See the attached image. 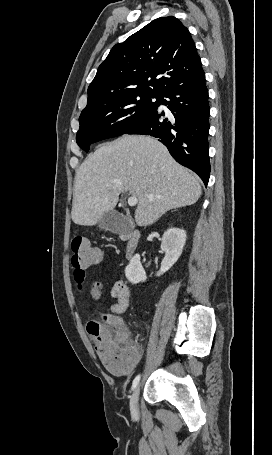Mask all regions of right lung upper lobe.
Segmentation results:
<instances>
[{
	"label": "right lung upper lobe",
	"instance_id": "cb5924a9",
	"mask_svg": "<svg viewBox=\"0 0 272 455\" xmlns=\"http://www.w3.org/2000/svg\"><path fill=\"white\" fill-rule=\"evenodd\" d=\"M203 72L188 29L173 16L155 19L111 49L82 113L135 95L160 96Z\"/></svg>",
	"mask_w": 272,
	"mask_h": 455
}]
</instances>
